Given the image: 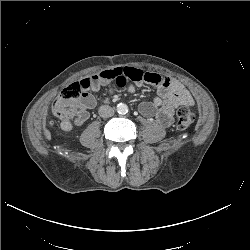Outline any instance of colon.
I'll list each match as a JSON object with an SVG mask.
<instances>
[{"label": "colon", "mask_w": 250, "mask_h": 250, "mask_svg": "<svg viewBox=\"0 0 250 250\" xmlns=\"http://www.w3.org/2000/svg\"><path fill=\"white\" fill-rule=\"evenodd\" d=\"M80 96L81 87L78 83H72L65 87L52 104L53 116L61 120H69L77 109V102ZM176 115L175 127L177 130H186L192 125L193 113L187 107H180Z\"/></svg>", "instance_id": "colon-1"}]
</instances>
